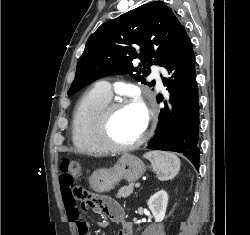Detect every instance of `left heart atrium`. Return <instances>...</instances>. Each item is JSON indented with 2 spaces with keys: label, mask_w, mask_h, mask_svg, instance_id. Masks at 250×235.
<instances>
[{
  "label": "left heart atrium",
  "mask_w": 250,
  "mask_h": 235,
  "mask_svg": "<svg viewBox=\"0 0 250 235\" xmlns=\"http://www.w3.org/2000/svg\"><path fill=\"white\" fill-rule=\"evenodd\" d=\"M132 107L136 110V112L138 114L141 115L143 128H145V126L147 124L148 113H147V109H146L144 103L141 100H136L134 102V104L132 105Z\"/></svg>",
  "instance_id": "left-heart-atrium-1"
}]
</instances>
